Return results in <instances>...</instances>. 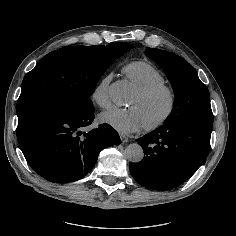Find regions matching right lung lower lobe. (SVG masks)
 <instances>
[{
	"mask_svg": "<svg viewBox=\"0 0 236 236\" xmlns=\"http://www.w3.org/2000/svg\"><path fill=\"white\" fill-rule=\"evenodd\" d=\"M93 119L94 108L81 112L50 110L18 124V143L29 165L50 182L82 179L102 149L121 142L109 124L89 131Z\"/></svg>",
	"mask_w": 236,
	"mask_h": 236,
	"instance_id": "1",
	"label": "right lung lower lobe"
}]
</instances>
